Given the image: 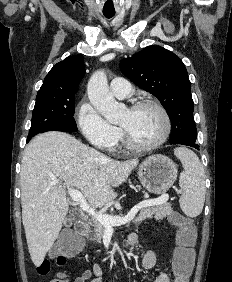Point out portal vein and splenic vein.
Masks as SVG:
<instances>
[{
	"instance_id": "portal-vein-and-splenic-vein-1",
	"label": "portal vein and splenic vein",
	"mask_w": 232,
	"mask_h": 282,
	"mask_svg": "<svg viewBox=\"0 0 232 282\" xmlns=\"http://www.w3.org/2000/svg\"><path fill=\"white\" fill-rule=\"evenodd\" d=\"M68 194L70 195L71 199L75 203H77L84 212L91 215L95 220H97L102 225H104V227H113V226H120L126 224L127 222L131 221L141 209L151 206L161 205L167 202L169 199L168 194H163L156 199L144 200L139 204H137L135 207H133L126 216L118 217V216H110L108 214L98 213L93 207H91L87 203L83 194L77 189L68 188Z\"/></svg>"
}]
</instances>
